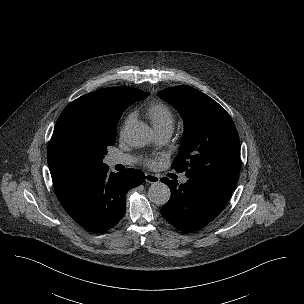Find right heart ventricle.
Listing matches in <instances>:
<instances>
[{
	"label": "right heart ventricle",
	"instance_id": "1",
	"mask_svg": "<svg viewBox=\"0 0 304 304\" xmlns=\"http://www.w3.org/2000/svg\"><path fill=\"white\" fill-rule=\"evenodd\" d=\"M147 115L155 130L170 129L175 124V115L171 108L162 102H153L147 108Z\"/></svg>",
	"mask_w": 304,
	"mask_h": 304
}]
</instances>
